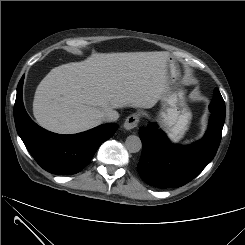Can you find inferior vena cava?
<instances>
[{
    "label": "inferior vena cava",
    "mask_w": 245,
    "mask_h": 245,
    "mask_svg": "<svg viewBox=\"0 0 245 245\" xmlns=\"http://www.w3.org/2000/svg\"><path fill=\"white\" fill-rule=\"evenodd\" d=\"M118 118H119V114L114 110H109L102 116V120L106 122H114Z\"/></svg>",
    "instance_id": "602c4592"
}]
</instances>
